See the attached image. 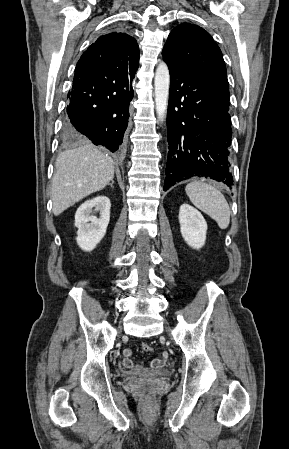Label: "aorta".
Segmentation results:
<instances>
[{"mask_svg":"<svg viewBox=\"0 0 289 449\" xmlns=\"http://www.w3.org/2000/svg\"><path fill=\"white\" fill-rule=\"evenodd\" d=\"M170 86V74L166 63L161 62L155 72L154 93L155 107L158 119L163 121L166 117Z\"/></svg>","mask_w":289,"mask_h":449,"instance_id":"obj_1","label":"aorta"}]
</instances>
